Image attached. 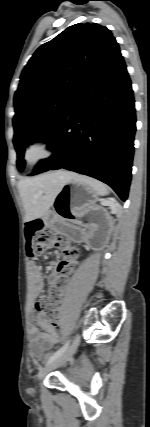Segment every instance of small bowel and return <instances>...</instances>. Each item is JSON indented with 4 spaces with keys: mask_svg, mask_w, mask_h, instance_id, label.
Instances as JSON below:
<instances>
[{
    "mask_svg": "<svg viewBox=\"0 0 150 427\" xmlns=\"http://www.w3.org/2000/svg\"><path fill=\"white\" fill-rule=\"evenodd\" d=\"M60 262L50 263L52 273L50 275V284L58 277ZM31 278L36 291L41 292L44 289V277L35 263L30 264ZM38 326L29 328L30 353L33 357H39L58 342V334L53 327L48 325L41 315L38 316Z\"/></svg>",
    "mask_w": 150,
    "mask_h": 427,
    "instance_id": "small-bowel-1",
    "label": "small bowel"
}]
</instances>
